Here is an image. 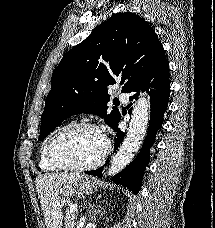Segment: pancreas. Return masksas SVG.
I'll return each instance as SVG.
<instances>
[{
  "label": "pancreas",
  "mask_w": 215,
  "mask_h": 228,
  "mask_svg": "<svg viewBox=\"0 0 215 228\" xmlns=\"http://www.w3.org/2000/svg\"><path fill=\"white\" fill-rule=\"evenodd\" d=\"M76 218L75 212H72L71 208H68L67 212H65V228H75Z\"/></svg>",
  "instance_id": "cf45deb5"
}]
</instances>
